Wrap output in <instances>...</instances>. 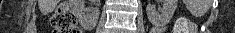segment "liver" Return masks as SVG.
I'll return each mask as SVG.
<instances>
[{"label":"liver","mask_w":235,"mask_h":33,"mask_svg":"<svg viewBox=\"0 0 235 33\" xmlns=\"http://www.w3.org/2000/svg\"><path fill=\"white\" fill-rule=\"evenodd\" d=\"M39 9L43 15L50 13L56 4L54 0H39Z\"/></svg>","instance_id":"6515ba94"}]
</instances>
